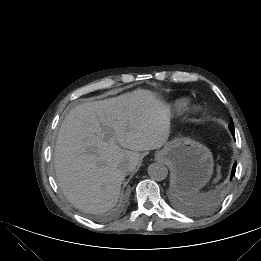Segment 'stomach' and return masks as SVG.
Wrapping results in <instances>:
<instances>
[{"instance_id": "0dacf381", "label": "stomach", "mask_w": 261, "mask_h": 261, "mask_svg": "<svg viewBox=\"0 0 261 261\" xmlns=\"http://www.w3.org/2000/svg\"><path fill=\"white\" fill-rule=\"evenodd\" d=\"M172 172V186L180 194H193L209 181L213 172L210 150L190 138H176L155 155Z\"/></svg>"}]
</instances>
